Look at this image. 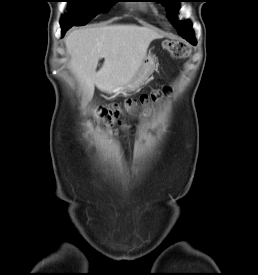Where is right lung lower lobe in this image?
I'll return each instance as SVG.
<instances>
[{
  "instance_id": "right-lung-lower-lobe-1",
  "label": "right lung lower lobe",
  "mask_w": 258,
  "mask_h": 275,
  "mask_svg": "<svg viewBox=\"0 0 258 275\" xmlns=\"http://www.w3.org/2000/svg\"><path fill=\"white\" fill-rule=\"evenodd\" d=\"M71 27H72L71 25H61L62 34L64 35L66 33V31Z\"/></svg>"
}]
</instances>
